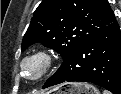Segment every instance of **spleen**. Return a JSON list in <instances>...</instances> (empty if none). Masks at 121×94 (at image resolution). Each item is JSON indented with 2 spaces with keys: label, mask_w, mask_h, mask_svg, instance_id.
I'll return each instance as SVG.
<instances>
[{
  "label": "spleen",
  "mask_w": 121,
  "mask_h": 94,
  "mask_svg": "<svg viewBox=\"0 0 121 94\" xmlns=\"http://www.w3.org/2000/svg\"><path fill=\"white\" fill-rule=\"evenodd\" d=\"M103 94H109L107 91H104Z\"/></svg>",
  "instance_id": "1"
}]
</instances>
